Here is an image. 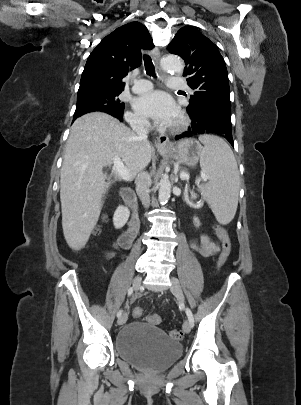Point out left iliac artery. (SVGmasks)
<instances>
[{
    "label": "left iliac artery",
    "mask_w": 301,
    "mask_h": 405,
    "mask_svg": "<svg viewBox=\"0 0 301 405\" xmlns=\"http://www.w3.org/2000/svg\"><path fill=\"white\" fill-rule=\"evenodd\" d=\"M186 314H187V317H188V320L190 322L191 327H193L194 326V318H193V314H192L191 310L187 308L186 309Z\"/></svg>",
    "instance_id": "obj_1"
}]
</instances>
